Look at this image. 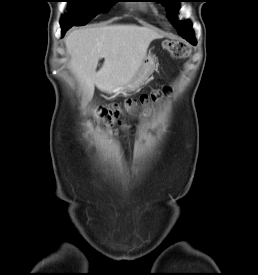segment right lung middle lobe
I'll return each mask as SVG.
<instances>
[{"label": "right lung middle lobe", "instance_id": "right-lung-middle-lobe-1", "mask_svg": "<svg viewBox=\"0 0 258 275\" xmlns=\"http://www.w3.org/2000/svg\"><path fill=\"white\" fill-rule=\"evenodd\" d=\"M68 13L63 15L61 25H85L97 14L106 12L115 0H67Z\"/></svg>", "mask_w": 258, "mask_h": 275}]
</instances>
